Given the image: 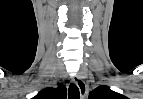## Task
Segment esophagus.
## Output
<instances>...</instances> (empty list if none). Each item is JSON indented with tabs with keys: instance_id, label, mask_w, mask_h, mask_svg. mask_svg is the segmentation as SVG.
I'll return each instance as SVG.
<instances>
[{
	"instance_id": "esophagus-1",
	"label": "esophagus",
	"mask_w": 143,
	"mask_h": 99,
	"mask_svg": "<svg viewBox=\"0 0 143 99\" xmlns=\"http://www.w3.org/2000/svg\"><path fill=\"white\" fill-rule=\"evenodd\" d=\"M73 80L79 88L81 98H84L87 93V87H86V83L84 82L83 78L80 75H77Z\"/></svg>"
}]
</instances>
